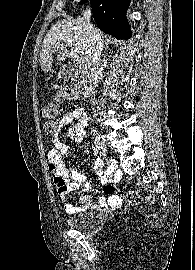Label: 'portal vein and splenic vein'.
<instances>
[{
    "label": "portal vein and splenic vein",
    "mask_w": 195,
    "mask_h": 270,
    "mask_svg": "<svg viewBox=\"0 0 195 270\" xmlns=\"http://www.w3.org/2000/svg\"><path fill=\"white\" fill-rule=\"evenodd\" d=\"M68 45H70L71 41L66 40L65 41ZM70 55L73 57H78L79 56V51L77 49H72L70 52Z\"/></svg>",
    "instance_id": "portal-vein-and-splenic-vein-1"
}]
</instances>
